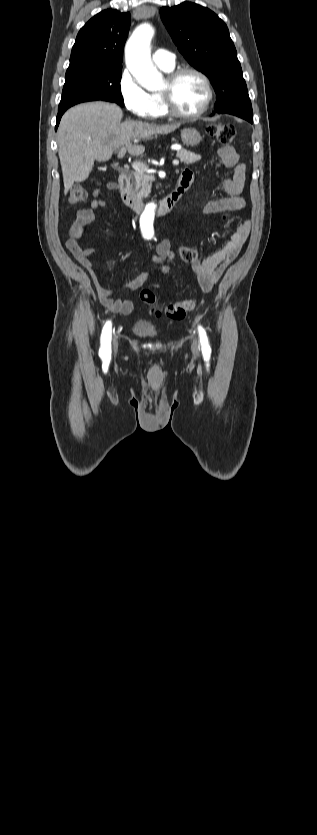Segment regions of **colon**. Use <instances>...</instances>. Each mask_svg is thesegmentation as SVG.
Instances as JSON below:
<instances>
[{
  "label": "colon",
  "mask_w": 317,
  "mask_h": 835,
  "mask_svg": "<svg viewBox=\"0 0 317 835\" xmlns=\"http://www.w3.org/2000/svg\"><path fill=\"white\" fill-rule=\"evenodd\" d=\"M208 133L214 137L219 143L223 145L230 144L236 134L234 126L230 124H213L208 127ZM86 190L80 185H75L71 188L68 195V202L70 205H77L83 202L86 198ZM179 255L183 260L189 261L198 256V251L194 247L183 246L179 250ZM167 266H164V272L167 271ZM140 300L147 304L156 307V314L159 315L161 310L157 306V300L154 292L150 289H143L139 294ZM194 307L192 300H185L177 303L167 305L164 308V314L173 320H182L188 311Z\"/></svg>",
  "instance_id": "1"
}]
</instances>
